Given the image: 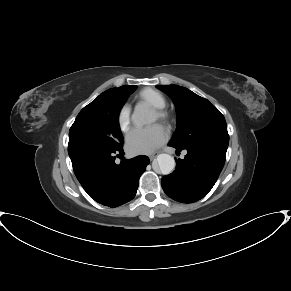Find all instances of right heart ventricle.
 <instances>
[{"label": "right heart ventricle", "mask_w": 291, "mask_h": 291, "mask_svg": "<svg viewBox=\"0 0 291 291\" xmlns=\"http://www.w3.org/2000/svg\"><path fill=\"white\" fill-rule=\"evenodd\" d=\"M139 99L142 102L148 103L153 108L163 109L166 106L164 96L157 90L145 88L139 93Z\"/></svg>", "instance_id": "1"}]
</instances>
